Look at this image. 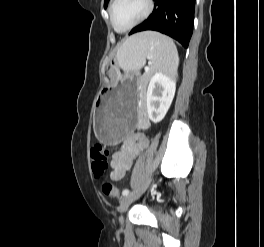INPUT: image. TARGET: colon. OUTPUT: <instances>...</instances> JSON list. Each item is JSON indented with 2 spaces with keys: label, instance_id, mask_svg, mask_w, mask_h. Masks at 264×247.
I'll list each match as a JSON object with an SVG mask.
<instances>
[{
  "label": "colon",
  "instance_id": "1",
  "mask_svg": "<svg viewBox=\"0 0 264 247\" xmlns=\"http://www.w3.org/2000/svg\"><path fill=\"white\" fill-rule=\"evenodd\" d=\"M90 155L93 174L99 178L108 168L109 152L102 145L96 144L91 148ZM101 190L107 197H117L119 194L118 188L109 180L102 181Z\"/></svg>",
  "mask_w": 264,
  "mask_h": 247
}]
</instances>
